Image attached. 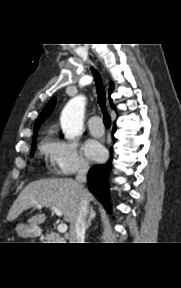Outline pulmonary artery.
Segmentation results:
<instances>
[{"label":"pulmonary artery","mask_w":181,"mask_h":288,"mask_svg":"<svg viewBox=\"0 0 181 288\" xmlns=\"http://www.w3.org/2000/svg\"><path fill=\"white\" fill-rule=\"evenodd\" d=\"M88 128H89L90 133L96 137L102 136L104 133V128H103L101 118L96 115L91 117L89 124H88Z\"/></svg>","instance_id":"e3ab8cb5"}]
</instances>
